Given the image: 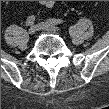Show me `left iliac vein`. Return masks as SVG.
<instances>
[{"label": "left iliac vein", "instance_id": "1", "mask_svg": "<svg viewBox=\"0 0 109 109\" xmlns=\"http://www.w3.org/2000/svg\"><path fill=\"white\" fill-rule=\"evenodd\" d=\"M38 28L45 30V31H50V32H57L60 30V27L53 25L49 22H41L38 24Z\"/></svg>", "mask_w": 109, "mask_h": 109}]
</instances>
